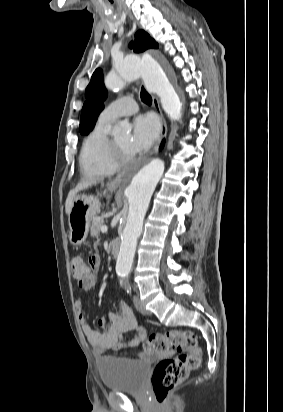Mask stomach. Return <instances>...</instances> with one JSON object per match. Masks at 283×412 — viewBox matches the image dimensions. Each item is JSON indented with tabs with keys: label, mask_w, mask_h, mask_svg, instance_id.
<instances>
[{
	"label": "stomach",
	"mask_w": 283,
	"mask_h": 412,
	"mask_svg": "<svg viewBox=\"0 0 283 412\" xmlns=\"http://www.w3.org/2000/svg\"><path fill=\"white\" fill-rule=\"evenodd\" d=\"M111 191L115 188H110ZM100 201L95 196H78L71 208L69 221V240L74 246H79L85 242L92 219L100 211Z\"/></svg>",
	"instance_id": "0dacf381"
}]
</instances>
